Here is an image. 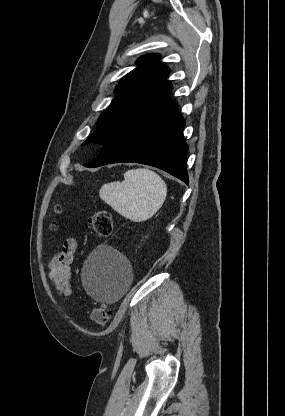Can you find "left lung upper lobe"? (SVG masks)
<instances>
[{
    "label": "left lung upper lobe",
    "mask_w": 285,
    "mask_h": 416,
    "mask_svg": "<svg viewBox=\"0 0 285 416\" xmlns=\"http://www.w3.org/2000/svg\"><path fill=\"white\" fill-rule=\"evenodd\" d=\"M158 59L157 54L142 56L139 66L122 78L116 88L119 96L102 113L99 127L82 145L104 144L125 125L171 102L172 85L165 79L170 69Z\"/></svg>",
    "instance_id": "obj_1"
}]
</instances>
